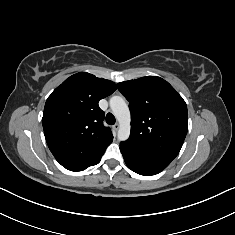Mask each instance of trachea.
I'll list each match as a JSON object with an SVG mask.
<instances>
[{
  "mask_svg": "<svg viewBox=\"0 0 235 235\" xmlns=\"http://www.w3.org/2000/svg\"><path fill=\"white\" fill-rule=\"evenodd\" d=\"M106 122H107V124H109V125H114V124H115L116 119H115V117H114V115H113L112 113H108V114L106 115Z\"/></svg>",
  "mask_w": 235,
  "mask_h": 235,
  "instance_id": "trachea-1",
  "label": "trachea"
}]
</instances>
